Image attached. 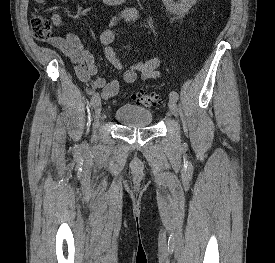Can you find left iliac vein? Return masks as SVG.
<instances>
[{"label": "left iliac vein", "instance_id": "left-iliac-vein-1", "mask_svg": "<svg viewBox=\"0 0 275 263\" xmlns=\"http://www.w3.org/2000/svg\"><path fill=\"white\" fill-rule=\"evenodd\" d=\"M169 110L171 112L172 115L177 116L178 115V108H177V104L176 101L170 99L169 103Z\"/></svg>", "mask_w": 275, "mask_h": 263}]
</instances>
